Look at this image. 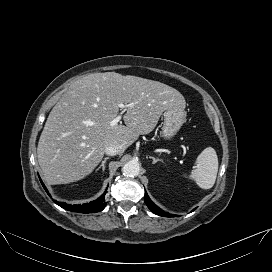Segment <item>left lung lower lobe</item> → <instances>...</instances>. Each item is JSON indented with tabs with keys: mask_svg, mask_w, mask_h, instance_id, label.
Segmentation results:
<instances>
[{
	"mask_svg": "<svg viewBox=\"0 0 272 272\" xmlns=\"http://www.w3.org/2000/svg\"><path fill=\"white\" fill-rule=\"evenodd\" d=\"M145 203L148 206V208L155 213L156 215L159 216H164V217H171L173 215H169L168 213L164 212L163 210H161L159 207H157L152 201L151 199L148 197L147 192H145ZM175 216V215H174Z\"/></svg>",
	"mask_w": 272,
	"mask_h": 272,
	"instance_id": "obj_1",
	"label": "left lung lower lobe"
}]
</instances>
